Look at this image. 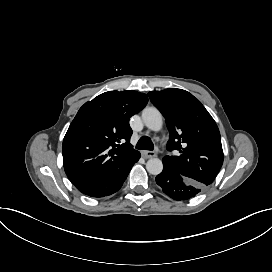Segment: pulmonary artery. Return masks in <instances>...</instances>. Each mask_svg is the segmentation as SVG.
<instances>
[{
	"label": "pulmonary artery",
	"instance_id": "pulmonary-artery-1",
	"mask_svg": "<svg viewBox=\"0 0 272 272\" xmlns=\"http://www.w3.org/2000/svg\"><path fill=\"white\" fill-rule=\"evenodd\" d=\"M163 146L166 148V150L171 154L174 155L176 153V150L172 147L170 144V141L168 139H165L163 141Z\"/></svg>",
	"mask_w": 272,
	"mask_h": 272
}]
</instances>
